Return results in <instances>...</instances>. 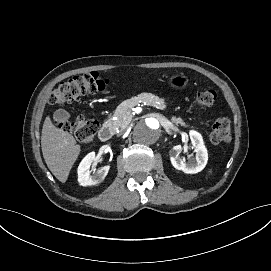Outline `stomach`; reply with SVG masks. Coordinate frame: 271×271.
<instances>
[{
  "mask_svg": "<svg viewBox=\"0 0 271 271\" xmlns=\"http://www.w3.org/2000/svg\"><path fill=\"white\" fill-rule=\"evenodd\" d=\"M186 82V78L182 76L176 77L173 81H171V84L176 85L178 87H182Z\"/></svg>",
  "mask_w": 271,
  "mask_h": 271,
  "instance_id": "1",
  "label": "stomach"
}]
</instances>
